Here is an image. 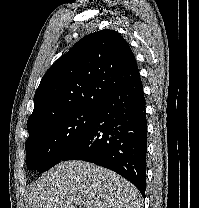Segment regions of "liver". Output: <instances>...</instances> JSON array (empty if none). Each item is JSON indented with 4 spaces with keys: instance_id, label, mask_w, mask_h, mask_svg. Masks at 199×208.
I'll list each match as a JSON object with an SVG mask.
<instances>
[{
    "instance_id": "6515ba94",
    "label": "liver",
    "mask_w": 199,
    "mask_h": 208,
    "mask_svg": "<svg viewBox=\"0 0 199 208\" xmlns=\"http://www.w3.org/2000/svg\"><path fill=\"white\" fill-rule=\"evenodd\" d=\"M138 189L115 172L85 161L60 162L33 184L29 208H139Z\"/></svg>"
}]
</instances>
